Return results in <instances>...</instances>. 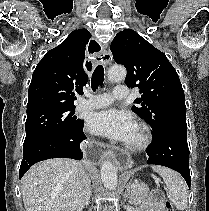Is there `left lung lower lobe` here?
Returning <instances> with one entry per match:
<instances>
[{"instance_id": "obj_1", "label": "left lung lower lobe", "mask_w": 209, "mask_h": 211, "mask_svg": "<svg viewBox=\"0 0 209 211\" xmlns=\"http://www.w3.org/2000/svg\"><path fill=\"white\" fill-rule=\"evenodd\" d=\"M146 153L149 156L148 164L166 166L179 172L190 188L186 123H175L164 128L153 137V143L147 148Z\"/></svg>"}]
</instances>
